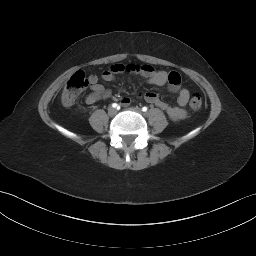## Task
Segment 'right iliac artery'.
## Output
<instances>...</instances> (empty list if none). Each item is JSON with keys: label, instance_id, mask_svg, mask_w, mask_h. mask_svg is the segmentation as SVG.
I'll return each mask as SVG.
<instances>
[{"label": "right iliac artery", "instance_id": "1", "mask_svg": "<svg viewBox=\"0 0 256 256\" xmlns=\"http://www.w3.org/2000/svg\"><path fill=\"white\" fill-rule=\"evenodd\" d=\"M112 107H113V108H117V109L120 108V106H119L118 104H116V103H113V104H112Z\"/></svg>", "mask_w": 256, "mask_h": 256}]
</instances>
